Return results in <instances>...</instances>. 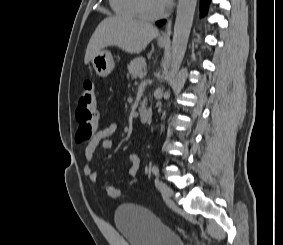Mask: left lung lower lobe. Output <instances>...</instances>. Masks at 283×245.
Returning <instances> with one entry per match:
<instances>
[{
  "instance_id": "0a47b994",
  "label": "left lung lower lobe",
  "mask_w": 283,
  "mask_h": 245,
  "mask_svg": "<svg viewBox=\"0 0 283 245\" xmlns=\"http://www.w3.org/2000/svg\"><path fill=\"white\" fill-rule=\"evenodd\" d=\"M209 2L210 0H201V13L202 14H204L207 11ZM164 23H165L164 20L157 22L158 25H162Z\"/></svg>"
}]
</instances>
